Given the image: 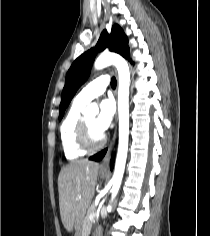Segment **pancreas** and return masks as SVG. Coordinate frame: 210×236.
<instances>
[{
    "mask_svg": "<svg viewBox=\"0 0 210 236\" xmlns=\"http://www.w3.org/2000/svg\"><path fill=\"white\" fill-rule=\"evenodd\" d=\"M96 212V208L94 206L89 207L87 214L85 215L83 221H82V229H81V236H87L89 233L93 221L89 218L90 214H93Z\"/></svg>",
    "mask_w": 210,
    "mask_h": 236,
    "instance_id": "pancreas-1",
    "label": "pancreas"
}]
</instances>
